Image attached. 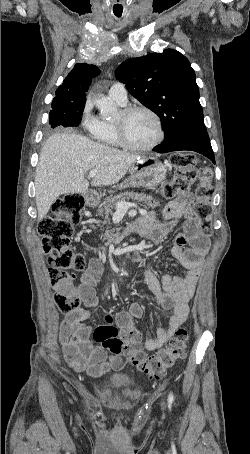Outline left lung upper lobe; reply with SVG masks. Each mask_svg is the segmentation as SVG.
<instances>
[{"label": "left lung upper lobe", "mask_w": 250, "mask_h": 454, "mask_svg": "<svg viewBox=\"0 0 250 454\" xmlns=\"http://www.w3.org/2000/svg\"><path fill=\"white\" fill-rule=\"evenodd\" d=\"M116 77L129 92L161 119L163 143L204 125L195 72L177 50L131 58L119 65Z\"/></svg>", "instance_id": "1"}]
</instances>
